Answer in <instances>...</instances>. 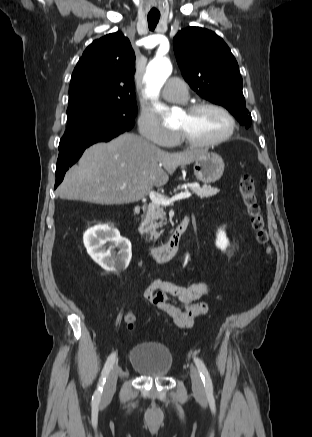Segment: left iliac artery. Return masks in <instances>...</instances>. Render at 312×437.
Listing matches in <instances>:
<instances>
[{
    "label": "left iliac artery",
    "instance_id": "left-iliac-artery-1",
    "mask_svg": "<svg viewBox=\"0 0 312 437\" xmlns=\"http://www.w3.org/2000/svg\"><path fill=\"white\" fill-rule=\"evenodd\" d=\"M194 362L197 366V369L200 373L201 379L204 383L206 394L208 396H212L213 395V384H212L210 374H209L204 362L197 357L194 358Z\"/></svg>",
    "mask_w": 312,
    "mask_h": 437
}]
</instances>
